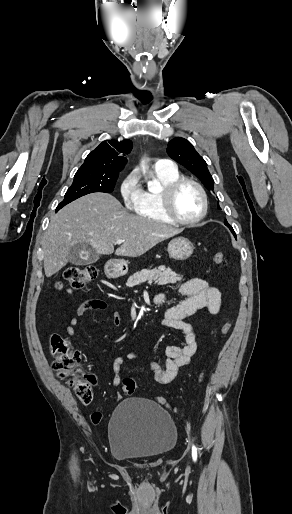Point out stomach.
<instances>
[{
  "mask_svg": "<svg viewBox=\"0 0 292 514\" xmlns=\"http://www.w3.org/2000/svg\"><path fill=\"white\" fill-rule=\"evenodd\" d=\"M194 246L187 238H174L168 244L169 258L173 260H187L193 254ZM107 278H119L122 274L120 260H109L104 266Z\"/></svg>",
  "mask_w": 292,
  "mask_h": 514,
  "instance_id": "0dacf381",
  "label": "stomach"
}]
</instances>
